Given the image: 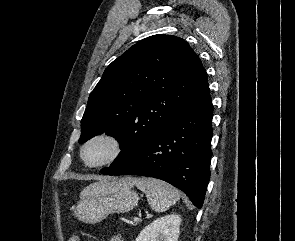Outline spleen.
I'll list each match as a JSON object with an SVG mask.
<instances>
[{"instance_id": "3e777b00", "label": "spleen", "mask_w": 295, "mask_h": 241, "mask_svg": "<svg viewBox=\"0 0 295 241\" xmlns=\"http://www.w3.org/2000/svg\"><path fill=\"white\" fill-rule=\"evenodd\" d=\"M134 184L146 194L148 203L155 212H165L180 198L176 188L158 179L138 178Z\"/></svg>"}]
</instances>
